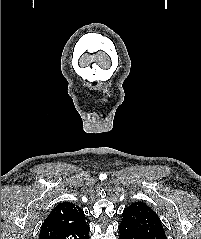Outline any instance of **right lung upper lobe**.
Listing matches in <instances>:
<instances>
[{"label": "right lung upper lobe", "instance_id": "1", "mask_svg": "<svg viewBox=\"0 0 201 239\" xmlns=\"http://www.w3.org/2000/svg\"><path fill=\"white\" fill-rule=\"evenodd\" d=\"M81 208L63 202L53 208L44 221L39 239H86L90 230Z\"/></svg>", "mask_w": 201, "mask_h": 239}]
</instances>
